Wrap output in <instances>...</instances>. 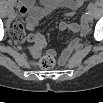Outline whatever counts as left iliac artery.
<instances>
[{"label":"left iliac artery","instance_id":"44dca946","mask_svg":"<svg viewBox=\"0 0 103 103\" xmlns=\"http://www.w3.org/2000/svg\"><path fill=\"white\" fill-rule=\"evenodd\" d=\"M94 8H95L94 4H93V3H90V4L88 5V12H89V13H92L93 10H94Z\"/></svg>","mask_w":103,"mask_h":103}]
</instances>
